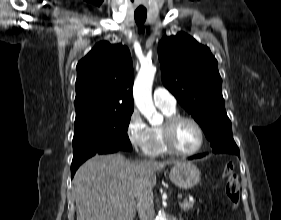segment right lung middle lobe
Returning a JSON list of instances; mask_svg holds the SVG:
<instances>
[{
    "label": "right lung middle lobe",
    "mask_w": 281,
    "mask_h": 220,
    "mask_svg": "<svg viewBox=\"0 0 281 220\" xmlns=\"http://www.w3.org/2000/svg\"><path fill=\"white\" fill-rule=\"evenodd\" d=\"M132 112H111L76 118L72 142L73 157L111 148L131 150L127 129Z\"/></svg>",
    "instance_id": "right-lung-middle-lobe-1"
}]
</instances>
